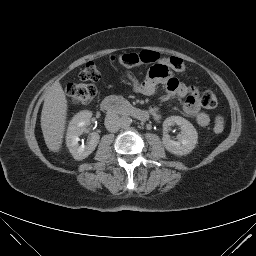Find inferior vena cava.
Instances as JSON below:
<instances>
[{"label":"inferior vena cava","instance_id":"602c4592","mask_svg":"<svg viewBox=\"0 0 256 256\" xmlns=\"http://www.w3.org/2000/svg\"><path fill=\"white\" fill-rule=\"evenodd\" d=\"M121 126V118L114 113L108 114L105 117V127L110 132H117Z\"/></svg>","mask_w":256,"mask_h":256}]
</instances>
